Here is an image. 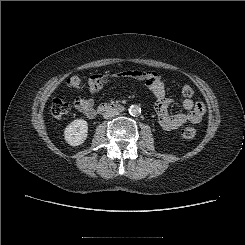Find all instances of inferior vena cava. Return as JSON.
I'll use <instances>...</instances> for the list:
<instances>
[{"instance_id":"obj_1","label":"inferior vena cava","mask_w":245,"mask_h":245,"mask_svg":"<svg viewBox=\"0 0 245 245\" xmlns=\"http://www.w3.org/2000/svg\"><path fill=\"white\" fill-rule=\"evenodd\" d=\"M118 114H119V111L118 110H116V109H110V110H107V111H105L103 113V117L105 119H108V118L114 117V116H116Z\"/></svg>"}]
</instances>
